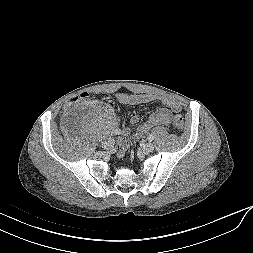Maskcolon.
Segmentation results:
<instances>
[{
	"mask_svg": "<svg viewBox=\"0 0 253 253\" xmlns=\"http://www.w3.org/2000/svg\"><path fill=\"white\" fill-rule=\"evenodd\" d=\"M88 100V95L86 93L76 94L74 97L70 98L66 105L61 107V112L63 114H71L73 108L77 107L81 103ZM173 125L176 129L181 130L184 127V119L181 115H175L173 118Z\"/></svg>",
	"mask_w": 253,
	"mask_h": 253,
	"instance_id": "5ec220e1",
	"label": "colon"
}]
</instances>
